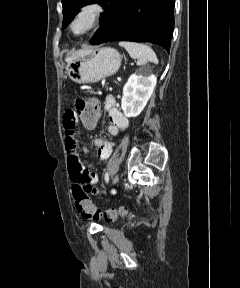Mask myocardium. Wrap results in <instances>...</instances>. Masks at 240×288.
<instances>
[{
    "label": "myocardium",
    "mask_w": 240,
    "mask_h": 288,
    "mask_svg": "<svg viewBox=\"0 0 240 288\" xmlns=\"http://www.w3.org/2000/svg\"><path fill=\"white\" fill-rule=\"evenodd\" d=\"M105 13H106V7L100 1L94 0L84 3L77 9V11L73 15L69 23V29L71 33L74 36H84L90 33L91 31H93L94 29L98 28L101 25ZM83 15H88L90 17V24L86 30L77 33L74 31V24L77 21V19H79Z\"/></svg>",
    "instance_id": "obj_1"
}]
</instances>
